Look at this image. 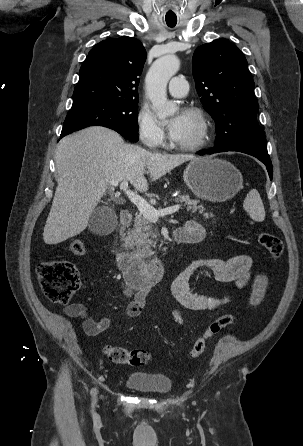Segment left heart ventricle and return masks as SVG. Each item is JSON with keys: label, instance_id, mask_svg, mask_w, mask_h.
Masks as SVG:
<instances>
[{"label": "left heart ventricle", "instance_id": "obj_1", "mask_svg": "<svg viewBox=\"0 0 303 446\" xmlns=\"http://www.w3.org/2000/svg\"><path fill=\"white\" fill-rule=\"evenodd\" d=\"M184 116V124L181 135L175 141L181 144H187L194 141L200 131V123L199 120L191 114H183Z\"/></svg>", "mask_w": 303, "mask_h": 446}]
</instances>
